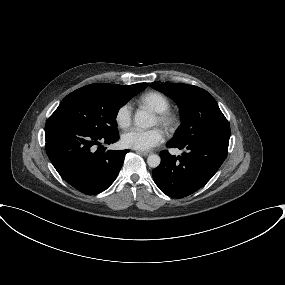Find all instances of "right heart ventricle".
Listing matches in <instances>:
<instances>
[{"mask_svg":"<svg viewBox=\"0 0 285 285\" xmlns=\"http://www.w3.org/2000/svg\"><path fill=\"white\" fill-rule=\"evenodd\" d=\"M139 101L156 113L167 111L171 107L170 99L158 91H150L143 94Z\"/></svg>","mask_w":285,"mask_h":285,"instance_id":"obj_1","label":"right heart ventricle"}]
</instances>
